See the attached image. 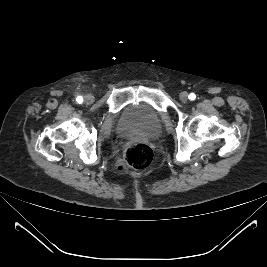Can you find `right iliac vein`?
I'll return each instance as SVG.
<instances>
[{
	"label": "right iliac vein",
	"instance_id": "right-iliac-vein-1",
	"mask_svg": "<svg viewBox=\"0 0 267 267\" xmlns=\"http://www.w3.org/2000/svg\"><path fill=\"white\" fill-rule=\"evenodd\" d=\"M94 101V97L91 94H88L84 97V102L86 104H91Z\"/></svg>",
	"mask_w": 267,
	"mask_h": 267
}]
</instances>
